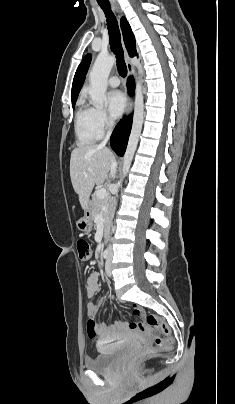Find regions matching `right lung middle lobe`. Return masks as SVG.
<instances>
[{"label": "right lung middle lobe", "instance_id": "dd1d6c3e", "mask_svg": "<svg viewBox=\"0 0 235 404\" xmlns=\"http://www.w3.org/2000/svg\"><path fill=\"white\" fill-rule=\"evenodd\" d=\"M72 105H73V107H74V105H75V102H72Z\"/></svg>", "mask_w": 235, "mask_h": 404}]
</instances>
